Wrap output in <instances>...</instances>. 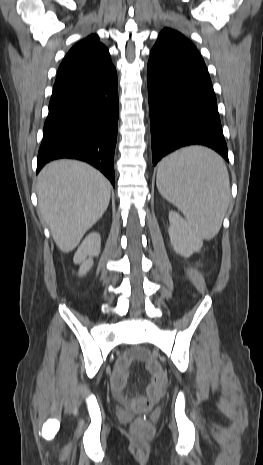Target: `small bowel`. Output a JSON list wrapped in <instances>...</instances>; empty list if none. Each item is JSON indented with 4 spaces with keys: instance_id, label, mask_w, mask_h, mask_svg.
Instances as JSON below:
<instances>
[{
    "instance_id": "obj_1",
    "label": "small bowel",
    "mask_w": 263,
    "mask_h": 465,
    "mask_svg": "<svg viewBox=\"0 0 263 465\" xmlns=\"http://www.w3.org/2000/svg\"><path fill=\"white\" fill-rule=\"evenodd\" d=\"M138 357V353L136 351H131L126 353L123 357H121L115 367V370L112 374L111 385L112 389L117 396L122 401H128L129 397L125 392V388L127 385V378H128V368L131 362ZM165 383L164 375L158 371L154 370L152 375V383L148 387V393L151 387H159L163 388ZM136 399V398H135Z\"/></svg>"
}]
</instances>
